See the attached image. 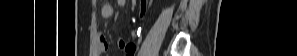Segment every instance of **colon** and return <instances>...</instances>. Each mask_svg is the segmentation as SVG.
Wrapping results in <instances>:
<instances>
[{
  "mask_svg": "<svg viewBox=\"0 0 297 56\" xmlns=\"http://www.w3.org/2000/svg\"><path fill=\"white\" fill-rule=\"evenodd\" d=\"M145 3H146V1L145 0H142V6H143V8L145 6Z\"/></svg>",
  "mask_w": 297,
  "mask_h": 56,
  "instance_id": "5ec220e1",
  "label": "colon"
}]
</instances>
